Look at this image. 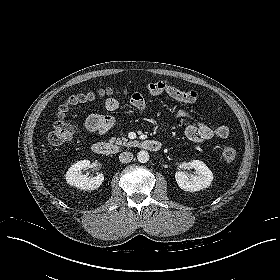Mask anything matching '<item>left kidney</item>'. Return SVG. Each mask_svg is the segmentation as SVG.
Instances as JSON below:
<instances>
[{
	"label": "left kidney",
	"instance_id": "left-kidney-1",
	"mask_svg": "<svg viewBox=\"0 0 280 280\" xmlns=\"http://www.w3.org/2000/svg\"><path fill=\"white\" fill-rule=\"evenodd\" d=\"M179 168H194L197 175H189L183 171L175 173V179L178 186L189 192L200 191L211 185L213 181V173L208 166L200 160H192L191 162H184L179 165Z\"/></svg>",
	"mask_w": 280,
	"mask_h": 280
}]
</instances>
